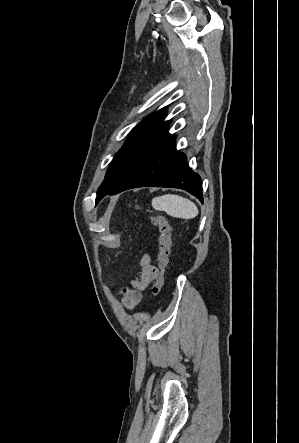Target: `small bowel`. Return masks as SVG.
I'll return each mask as SVG.
<instances>
[{"mask_svg": "<svg viewBox=\"0 0 299 443\" xmlns=\"http://www.w3.org/2000/svg\"><path fill=\"white\" fill-rule=\"evenodd\" d=\"M156 278V268L149 254H144L138 263V276L130 281V286L121 291L122 303L126 310L132 311L140 303L142 291Z\"/></svg>", "mask_w": 299, "mask_h": 443, "instance_id": "1", "label": "small bowel"}]
</instances>
